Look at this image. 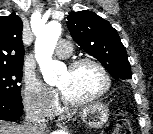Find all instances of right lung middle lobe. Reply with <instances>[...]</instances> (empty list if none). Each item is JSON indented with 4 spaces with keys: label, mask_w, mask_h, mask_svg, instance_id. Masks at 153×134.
<instances>
[{
    "label": "right lung middle lobe",
    "mask_w": 153,
    "mask_h": 134,
    "mask_svg": "<svg viewBox=\"0 0 153 134\" xmlns=\"http://www.w3.org/2000/svg\"><path fill=\"white\" fill-rule=\"evenodd\" d=\"M22 66L0 67V97L15 101H22L21 87Z\"/></svg>",
    "instance_id": "right-lung-middle-lobe-1"
}]
</instances>
